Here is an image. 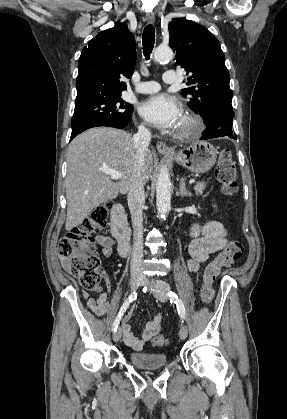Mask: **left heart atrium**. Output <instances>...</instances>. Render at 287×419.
I'll return each mask as SVG.
<instances>
[{
	"instance_id": "obj_1",
	"label": "left heart atrium",
	"mask_w": 287,
	"mask_h": 419,
	"mask_svg": "<svg viewBox=\"0 0 287 419\" xmlns=\"http://www.w3.org/2000/svg\"><path fill=\"white\" fill-rule=\"evenodd\" d=\"M139 112L148 122L160 128H174L182 119V109L178 101L163 93L143 101Z\"/></svg>"
}]
</instances>
